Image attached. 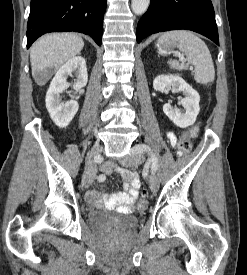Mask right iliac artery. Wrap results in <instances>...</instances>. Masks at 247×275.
<instances>
[{"mask_svg":"<svg viewBox=\"0 0 247 275\" xmlns=\"http://www.w3.org/2000/svg\"><path fill=\"white\" fill-rule=\"evenodd\" d=\"M95 160L96 162H103V157H102V154H95ZM98 180L100 182L104 181L105 180V177L103 175H100L98 177Z\"/></svg>","mask_w":247,"mask_h":275,"instance_id":"1","label":"right iliac artery"}]
</instances>
